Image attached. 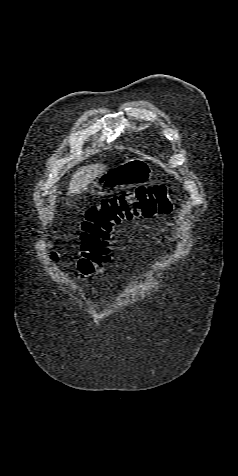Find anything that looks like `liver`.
<instances>
[{
	"label": "liver",
	"instance_id": "liver-1",
	"mask_svg": "<svg viewBox=\"0 0 238 476\" xmlns=\"http://www.w3.org/2000/svg\"><path fill=\"white\" fill-rule=\"evenodd\" d=\"M107 166L104 164H91L80 167L71 177L68 189V195L79 194L96 177L105 172Z\"/></svg>",
	"mask_w": 238,
	"mask_h": 476
}]
</instances>
